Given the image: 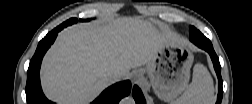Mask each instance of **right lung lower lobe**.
Returning a JSON list of instances; mask_svg holds the SVG:
<instances>
[{
  "mask_svg": "<svg viewBox=\"0 0 252 104\" xmlns=\"http://www.w3.org/2000/svg\"><path fill=\"white\" fill-rule=\"evenodd\" d=\"M63 28V26H58L49 32L39 42L36 52L30 61L25 89L28 104H53V102L46 99L42 92L39 71L44 54L55 41L58 32ZM130 91L131 82L129 80L116 83L104 90L92 104H117L123 97L129 95Z\"/></svg>",
  "mask_w": 252,
  "mask_h": 104,
  "instance_id": "98d812e1",
  "label": "right lung lower lobe"
}]
</instances>
